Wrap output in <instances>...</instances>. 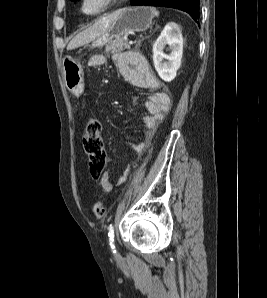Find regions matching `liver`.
Here are the masks:
<instances>
[{"label": "liver", "mask_w": 267, "mask_h": 298, "mask_svg": "<svg viewBox=\"0 0 267 298\" xmlns=\"http://www.w3.org/2000/svg\"><path fill=\"white\" fill-rule=\"evenodd\" d=\"M117 17V12L103 16L98 19L93 25L77 34L68 44L67 50H72L83 46L95 40L97 37L105 33L113 21Z\"/></svg>", "instance_id": "6515ba94"}]
</instances>
